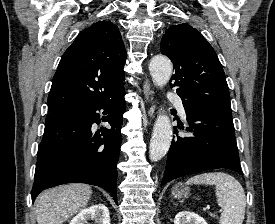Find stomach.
I'll return each mask as SVG.
<instances>
[{
    "instance_id": "1",
    "label": "stomach",
    "mask_w": 275,
    "mask_h": 224,
    "mask_svg": "<svg viewBox=\"0 0 275 224\" xmlns=\"http://www.w3.org/2000/svg\"><path fill=\"white\" fill-rule=\"evenodd\" d=\"M189 192V187L183 185L182 183H178L172 188V195L174 198L178 199L188 197Z\"/></svg>"
}]
</instances>
